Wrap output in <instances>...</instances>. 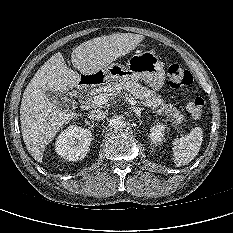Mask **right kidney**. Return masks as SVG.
Instances as JSON below:
<instances>
[{
  "mask_svg": "<svg viewBox=\"0 0 233 233\" xmlns=\"http://www.w3.org/2000/svg\"><path fill=\"white\" fill-rule=\"evenodd\" d=\"M91 140L89 129L71 125L57 137L55 150L64 159L77 161L87 155Z\"/></svg>",
  "mask_w": 233,
  "mask_h": 233,
  "instance_id": "ca27d5eb",
  "label": "right kidney"
}]
</instances>
